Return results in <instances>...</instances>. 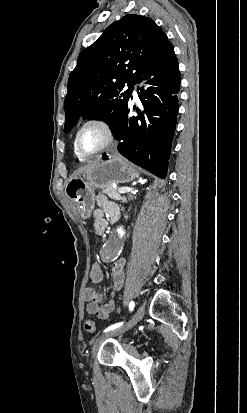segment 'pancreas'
I'll list each match as a JSON object with an SVG mask.
<instances>
[{
	"label": "pancreas",
	"instance_id": "cf45deb5",
	"mask_svg": "<svg viewBox=\"0 0 247 413\" xmlns=\"http://www.w3.org/2000/svg\"><path fill=\"white\" fill-rule=\"evenodd\" d=\"M117 190L118 188H114V186H105V188H102V192L108 194L110 198H115V200H121V202H126V196H121V194H118Z\"/></svg>",
	"mask_w": 247,
	"mask_h": 413
}]
</instances>
